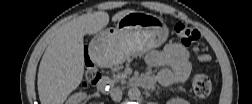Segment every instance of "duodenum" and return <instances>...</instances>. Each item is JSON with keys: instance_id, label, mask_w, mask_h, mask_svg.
Listing matches in <instances>:
<instances>
[{"instance_id": "410a0bca", "label": "duodenum", "mask_w": 252, "mask_h": 104, "mask_svg": "<svg viewBox=\"0 0 252 104\" xmlns=\"http://www.w3.org/2000/svg\"><path fill=\"white\" fill-rule=\"evenodd\" d=\"M138 85L144 87V88H149L153 85V79L148 76L140 77L137 79ZM112 84L108 79L103 78L98 82V89L99 91L105 93L109 90V86Z\"/></svg>"}]
</instances>
